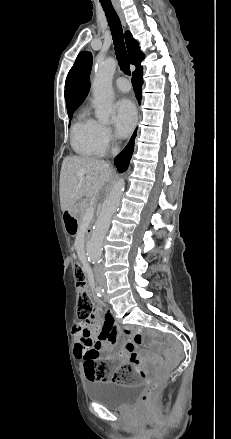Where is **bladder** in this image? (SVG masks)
Here are the masks:
<instances>
[{
  "label": "bladder",
  "mask_w": 231,
  "mask_h": 439,
  "mask_svg": "<svg viewBox=\"0 0 231 439\" xmlns=\"http://www.w3.org/2000/svg\"><path fill=\"white\" fill-rule=\"evenodd\" d=\"M141 386L138 383L119 385L109 381H92L88 384V398L109 409L122 408L138 398Z\"/></svg>",
  "instance_id": "bladder-1"
}]
</instances>
